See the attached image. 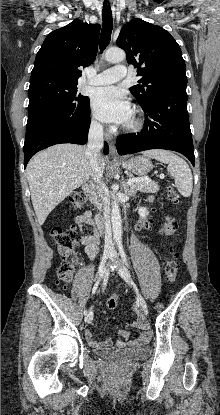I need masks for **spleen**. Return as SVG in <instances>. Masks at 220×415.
Wrapping results in <instances>:
<instances>
[{"mask_svg": "<svg viewBox=\"0 0 220 415\" xmlns=\"http://www.w3.org/2000/svg\"><path fill=\"white\" fill-rule=\"evenodd\" d=\"M148 158L168 164L167 170L175 180V186L180 194L189 197L192 193L193 180L188 164L179 156L166 150L155 149L143 153Z\"/></svg>", "mask_w": 220, "mask_h": 415, "instance_id": "spleen-1", "label": "spleen"}]
</instances>
